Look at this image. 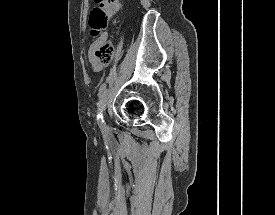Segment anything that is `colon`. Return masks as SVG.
<instances>
[{
    "mask_svg": "<svg viewBox=\"0 0 275 215\" xmlns=\"http://www.w3.org/2000/svg\"><path fill=\"white\" fill-rule=\"evenodd\" d=\"M97 6L89 16V26L93 36L103 37L101 30L109 21L110 15L117 8L119 0H95ZM96 62L99 65H109L112 59V46L105 37L95 50Z\"/></svg>",
    "mask_w": 275,
    "mask_h": 215,
    "instance_id": "1",
    "label": "colon"
}]
</instances>
